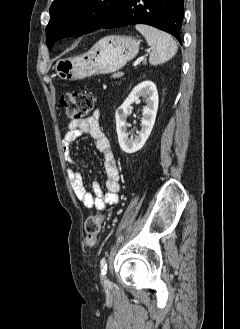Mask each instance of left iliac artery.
<instances>
[{
  "label": "left iliac artery",
  "mask_w": 240,
  "mask_h": 329,
  "mask_svg": "<svg viewBox=\"0 0 240 329\" xmlns=\"http://www.w3.org/2000/svg\"><path fill=\"white\" fill-rule=\"evenodd\" d=\"M100 267H101V272H102V275H105L106 274V271H107V261L105 258H102L101 261H100Z\"/></svg>",
  "instance_id": "left-iliac-artery-1"
}]
</instances>
